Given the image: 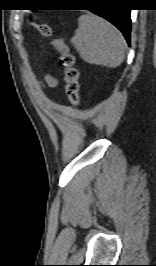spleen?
<instances>
[{"instance_id": "obj_1", "label": "spleen", "mask_w": 156, "mask_h": 266, "mask_svg": "<svg viewBox=\"0 0 156 266\" xmlns=\"http://www.w3.org/2000/svg\"><path fill=\"white\" fill-rule=\"evenodd\" d=\"M71 43L81 58L89 63L107 68L121 65L125 57V39L121 32L105 19L92 14L78 19Z\"/></svg>"}]
</instances>
